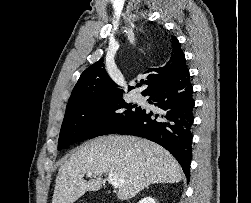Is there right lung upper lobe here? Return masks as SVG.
I'll list each match as a JSON object with an SVG mask.
<instances>
[{
	"label": "right lung upper lobe",
	"mask_w": 251,
	"mask_h": 203,
	"mask_svg": "<svg viewBox=\"0 0 251 203\" xmlns=\"http://www.w3.org/2000/svg\"><path fill=\"white\" fill-rule=\"evenodd\" d=\"M171 48L170 59L164 66L150 68L145 72L147 74L145 83L148 87L143 90L142 95L146 94L155 85L177 74L186 66L184 53L181 50L179 41L174 36L171 39ZM117 87L118 85L114 83L106 72L103 59H100L81 74L67 105L91 100L122 97L123 90ZM132 88L129 86L128 91Z\"/></svg>",
	"instance_id": "right-lung-upper-lobe-1"
}]
</instances>
